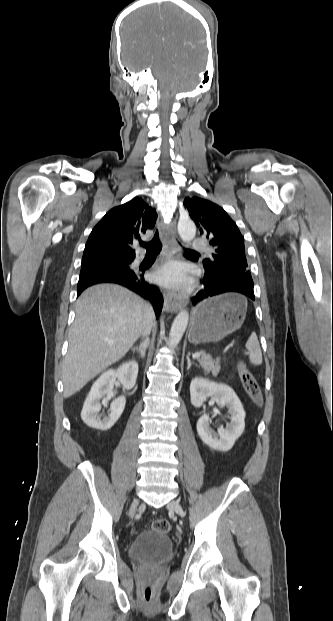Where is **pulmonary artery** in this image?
Wrapping results in <instances>:
<instances>
[{
	"instance_id": "e3ab8cb5",
	"label": "pulmonary artery",
	"mask_w": 333,
	"mask_h": 621,
	"mask_svg": "<svg viewBox=\"0 0 333 621\" xmlns=\"http://www.w3.org/2000/svg\"><path fill=\"white\" fill-rule=\"evenodd\" d=\"M191 247L193 251H202L206 249V243L204 240L196 238L192 241Z\"/></svg>"
}]
</instances>
